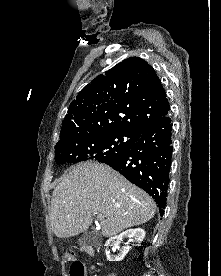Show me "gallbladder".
<instances>
[{
  "label": "gallbladder",
  "instance_id": "obj_1",
  "mask_svg": "<svg viewBox=\"0 0 221 276\" xmlns=\"http://www.w3.org/2000/svg\"><path fill=\"white\" fill-rule=\"evenodd\" d=\"M79 244L87 245V244H95L97 243L96 233L95 232H87L84 233L78 240Z\"/></svg>",
  "mask_w": 221,
  "mask_h": 276
}]
</instances>
